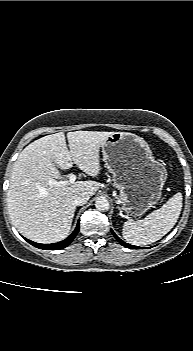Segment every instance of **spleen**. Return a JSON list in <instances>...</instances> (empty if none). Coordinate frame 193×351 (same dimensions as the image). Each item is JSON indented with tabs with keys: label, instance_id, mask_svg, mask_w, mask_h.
Masks as SVG:
<instances>
[{
	"label": "spleen",
	"instance_id": "1",
	"mask_svg": "<svg viewBox=\"0 0 193 351\" xmlns=\"http://www.w3.org/2000/svg\"><path fill=\"white\" fill-rule=\"evenodd\" d=\"M182 194L176 193L160 209L138 221L123 225V238L133 245H147L161 239L177 222L182 209Z\"/></svg>",
	"mask_w": 193,
	"mask_h": 351
}]
</instances>
